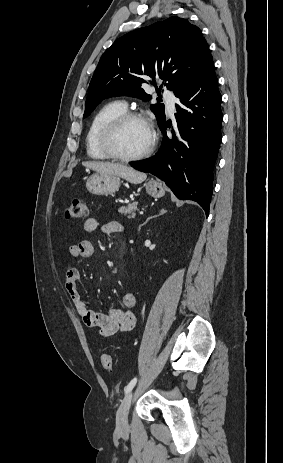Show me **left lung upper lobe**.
Instances as JSON below:
<instances>
[{
    "instance_id": "1",
    "label": "left lung upper lobe",
    "mask_w": 283,
    "mask_h": 463,
    "mask_svg": "<svg viewBox=\"0 0 283 463\" xmlns=\"http://www.w3.org/2000/svg\"><path fill=\"white\" fill-rule=\"evenodd\" d=\"M213 65L206 40L188 20L170 17L134 30L102 55L89 85L84 118L105 98L133 96L149 100L142 89L149 77H159L174 94L203 76ZM162 86H160L159 91ZM159 126L165 121L164 104L151 105Z\"/></svg>"
}]
</instances>
